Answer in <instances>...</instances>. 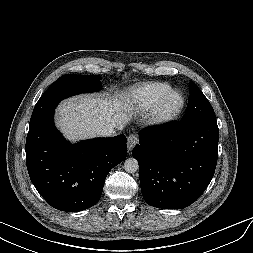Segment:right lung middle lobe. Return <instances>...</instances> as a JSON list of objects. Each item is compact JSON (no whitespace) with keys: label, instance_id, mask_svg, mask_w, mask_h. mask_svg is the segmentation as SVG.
<instances>
[{"label":"right lung middle lobe","instance_id":"right-lung-middle-lobe-1","mask_svg":"<svg viewBox=\"0 0 253 253\" xmlns=\"http://www.w3.org/2000/svg\"><path fill=\"white\" fill-rule=\"evenodd\" d=\"M101 77L97 75L66 74L57 79L36 103L30 122L55 109L57 104L71 95L94 92L101 89Z\"/></svg>","mask_w":253,"mask_h":253}]
</instances>
